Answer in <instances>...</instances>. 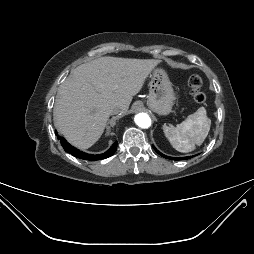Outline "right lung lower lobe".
<instances>
[{
  "mask_svg": "<svg viewBox=\"0 0 254 254\" xmlns=\"http://www.w3.org/2000/svg\"><path fill=\"white\" fill-rule=\"evenodd\" d=\"M56 135H57L58 140H60V143H61L62 147L64 148V150L66 152H68L69 154H72L73 156L80 158V159L91 160V161L106 159V158L112 156L117 149V142H115L110 147V149L107 150L103 154H97V155L87 154V153H84V152L76 149L75 147L71 146L63 137H60L57 133H56Z\"/></svg>",
  "mask_w": 254,
  "mask_h": 254,
  "instance_id": "obj_1",
  "label": "right lung lower lobe"
}]
</instances>
